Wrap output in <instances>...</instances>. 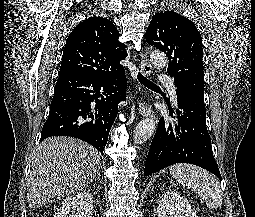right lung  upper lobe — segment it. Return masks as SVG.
<instances>
[{
  "instance_id": "obj_1",
  "label": "right lung upper lobe",
  "mask_w": 255,
  "mask_h": 217,
  "mask_svg": "<svg viewBox=\"0 0 255 217\" xmlns=\"http://www.w3.org/2000/svg\"><path fill=\"white\" fill-rule=\"evenodd\" d=\"M114 24L91 17L69 34L62 56L59 78L107 77L124 72L120 61L127 56Z\"/></svg>"
}]
</instances>
